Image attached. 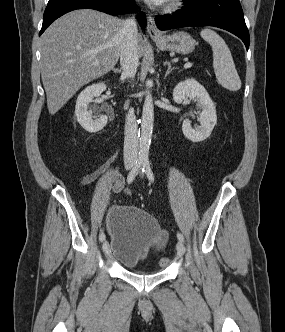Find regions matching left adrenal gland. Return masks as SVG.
Segmentation results:
<instances>
[{
	"instance_id": "left-adrenal-gland-1",
	"label": "left adrenal gland",
	"mask_w": 285,
	"mask_h": 332,
	"mask_svg": "<svg viewBox=\"0 0 285 332\" xmlns=\"http://www.w3.org/2000/svg\"><path fill=\"white\" fill-rule=\"evenodd\" d=\"M164 65H167V71H166V74H165V78L169 75V73L173 70V69H175V67H172L171 66V62H169V61H166L165 63H164Z\"/></svg>"
}]
</instances>
